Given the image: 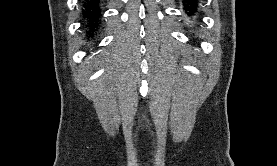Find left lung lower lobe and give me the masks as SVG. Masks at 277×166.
I'll return each mask as SVG.
<instances>
[{
	"instance_id": "1",
	"label": "left lung lower lobe",
	"mask_w": 277,
	"mask_h": 166,
	"mask_svg": "<svg viewBox=\"0 0 277 166\" xmlns=\"http://www.w3.org/2000/svg\"><path fill=\"white\" fill-rule=\"evenodd\" d=\"M185 13L192 18L197 12V2L195 0H183Z\"/></svg>"
}]
</instances>
